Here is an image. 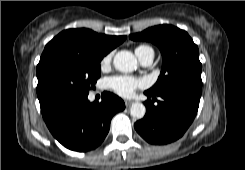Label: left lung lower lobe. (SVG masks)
<instances>
[{
	"instance_id": "obj_1",
	"label": "left lung lower lobe",
	"mask_w": 245,
	"mask_h": 170,
	"mask_svg": "<svg viewBox=\"0 0 245 170\" xmlns=\"http://www.w3.org/2000/svg\"><path fill=\"white\" fill-rule=\"evenodd\" d=\"M145 94L146 114L134 124L136 131L151 144H167L182 137L197 114L201 93L173 88L158 95Z\"/></svg>"
}]
</instances>
